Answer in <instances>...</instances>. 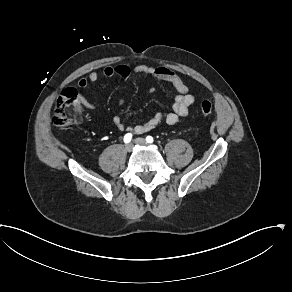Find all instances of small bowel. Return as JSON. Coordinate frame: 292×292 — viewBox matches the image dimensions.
Returning <instances> with one entry per match:
<instances>
[{"instance_id": "1", "label": "small bowel", "mask_w": 292, "mask_h": 292, "mask_svg": "<svg viewBox=\"0 0 292 292\" xmlns=\"http://www.w3.org/2000/svg\"><path fill=\"white\" fill-rule=\"evenodd\" d=\"M132 74L147 75L153 79L167 82L175 88L177 93L172 104V111L165 115L156 113L144 123L135 125L131 131L136 134H143L155 129L162 122H165L167 125L174 126L181 123L185 118L188 117L190 107L195 102V97L190 93V89L183 81V79L171 69L166 67H152L147 65H137L130 67L126 64H119L115 66H106L102 70V75L105 77L118 75L123 79H127ZM99 76L100 75L98 72L91 71L86 77L80 78L77 82V85L81 89H87L91 84L96 83L99 80ZM154 90L155 88L152 87L150 92H153ZM77 100L89 108L98 109L100 107L98 102H92L83 95H79ZM119 104H122V100H120ZM112 122L117 130L121 132L125 131V124L119 116H115Z\"/></svg>"}]
</instances>
